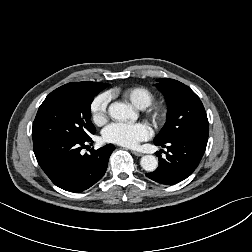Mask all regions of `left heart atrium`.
I'll use <instances>...</instances> for the list:
<instances>
[{
  "label": "left heart atrium",
  "instance_id": "obj_1",
  "mask_svg": "<svg viewBox=\"0 0 252 252\" xmlns=\"http://www.w3.org/2000/svg\"><path fill=\"white\" fill-rule=\"evenodd\" d=\"M151 135L149 126L145 123L114 122L103 131L106 142L134 147L139 142L148 139Z\"/></svg>",
  "mask_w": 252,
  "mask_h": 252
}]
</instances>
